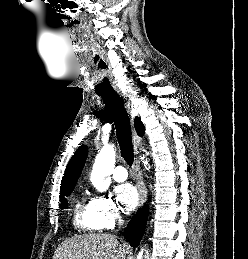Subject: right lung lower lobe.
Wrapping results in <instances>:
<instances>
[{
  "label": "right lung lower lobe",
  "instance_id": "1",
  "mask_svg": "<svg viewBox=\"0 0 248 259\" xmlns=\"http://www.w3.org/2000/svg\"><path fill=\"white\" fill-rule=\"evenodd\" d=\"M147 218L148 206H145L138 210L125 228L124 236L130 242L132 247H137L139 245L141 237L145 231Z\"/></svg>",
  "mask_w": 248,
  "mask_h": 259
}]
</instances>
